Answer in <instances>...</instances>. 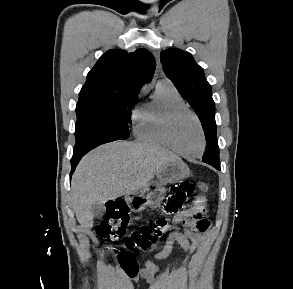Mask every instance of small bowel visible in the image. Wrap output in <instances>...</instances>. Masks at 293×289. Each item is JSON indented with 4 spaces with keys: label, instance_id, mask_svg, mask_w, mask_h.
<instances>
[{
    "label": "small bowel",
    "instance_id": "c3829d8e",
    "mask_svg": "<svg viewBox=\"0 0 293 289\" xmlns=\"http://www.w3.org/2000/svg\"><path fill=\"white\" fill-rule=\"evenodd\" d=\"M205 202V197L198 195L195 197L191 208L175 214L163 247L154 254V260H163L167 258L175 243L181 245L189 255L193 254L201 246L203 242L202 233H205L210 226V222L205 216H199ZM186 220L198 222L203 227L200 229H194L187 225H185L186 227H180L179 224ZM139 276L147 282L148 289H167V284L170 279V275L161 272L153 260H149L145 263V266L139 271Z\"/></svg>",
    "mask_w": 293,
    "mask_h": 289
}]
</instances>
